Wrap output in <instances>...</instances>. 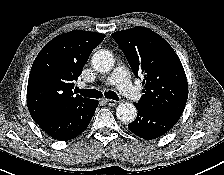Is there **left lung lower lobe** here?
I'll use <instances>...</instances> for the list:
<instances>
[{
  "label": "left lung lower lobe",
  "instance_id": "1",
  "mask_svg": "<svg viewBox=\"0 0 224 175\" xmlns=\"http://www.w3.org/2000/svg\"><path fill=\"white\" fill-rule=\"evenodd\" d=\"M138 110L137 118L128 125L129 130L143 139H156L169 131L181 115L153 110L134 103Z\"/></svg>",
  "mask_w": 224,
  "mask_h": 175
}]
</instances>
